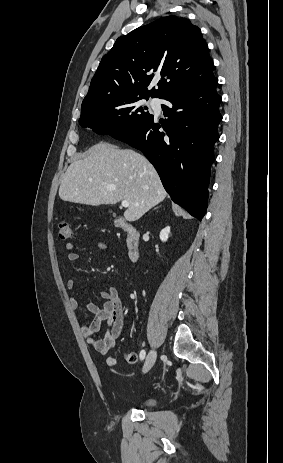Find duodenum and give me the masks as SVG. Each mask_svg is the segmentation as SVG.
I'll return each instance as SVG.
<instances>
[{
  "mask_svg": "<svg viewBox=\"0 0 283 463\" xmlns=\"http://www.w3.org/2000/svg\"><path fill=\"white\" fill-rule=\"evenodd\" d=\"M116 226L126 233V244L131 262L136 263L139 260V233L138 230L125 219H118Z\"/></svg>",
  "mask_w": 283,
  "mask_h": 463,
  "instance_id": "1",
  "label": "duodenum"
}]
</instances>
